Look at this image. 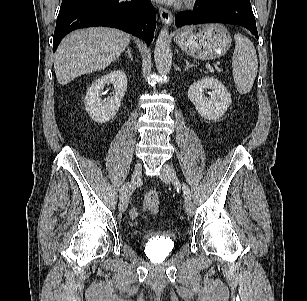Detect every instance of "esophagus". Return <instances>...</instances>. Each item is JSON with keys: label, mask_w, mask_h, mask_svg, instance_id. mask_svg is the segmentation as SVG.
<instances>
[{"label": "esophagus", "mask_w": 307, "mask_h": 301, "mask_svg": "<svg viewBox=\"0 0 307 301\" xmlns=\"http://www.w3.org/2000/svg\"><path fill=\"white\" fill-rule=\"evenodd\" d=\"M159 15H160V18H161V21L163 22V24L170 25L172 23L173 15L168 9L160 6L159 7Z\"/></svg>", "instance_id": "1"}]
</instances>
